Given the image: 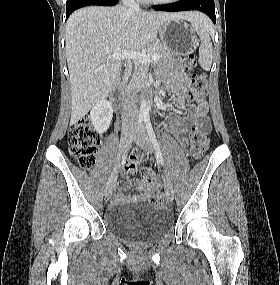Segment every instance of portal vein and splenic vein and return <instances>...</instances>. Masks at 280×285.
<instances>
[{
    "label": "portal vein and splenic vein",
    "mask_w": 280,
    "mask_h": 285,
    "mask_svg": "<svg viewBox=\"0 0 280 285\" xmlns=\"http://www.w3.org/2000/svg\"><path fill=\"white\" fill-rule=\"evenodd\" d=\"M111 59L116 60H135L142 64H150L152 61L159 60L160 56L156 53L149 55L137 51L122 50L120 48L115 49L110 55Z\"/></svg>",
    "instance_id": "18ae733b"
}]
</instances>
